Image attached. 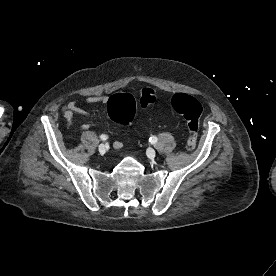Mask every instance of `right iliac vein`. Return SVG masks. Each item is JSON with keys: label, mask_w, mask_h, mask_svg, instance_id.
I'll return each instance as SVG.
<instances>
[{"label": "right iliac vein", "mask_w": 276, "mask_h": 276, "mask_svg": "<svg viewBox=\"0 0 276 276\" xmlns=\"http://www.w3.org/2000/svg\"><path fill=\"white\" fill-rule=\"evenodd\" d=\"M98 150L101 154H104L106 152V146L104 144H100L98 146Z\"/></svg>", "instance_id": "63e3f726"}]
</instances>
